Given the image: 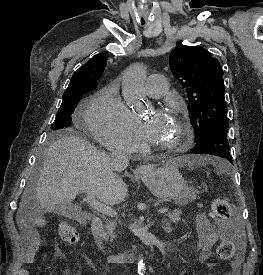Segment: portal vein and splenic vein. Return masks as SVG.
I'll list each match as a JSON object with an SVG mask.
<instances>
[{
    "mask_svg": "<svg viewBox=\"0 0 263 275\" xmlns=\"http://www.w3.org/2000/svg\"><path fill=\"white\" fill-rule=\"evenodd\" d=\"M87 201L88 203L90 204V206L96 210L97 212L101 213V214H104V215H107V216H111V217H114L116 216V212L113 210V208H111L110 206L106 205V204H103L101 202H99L95 195L90 193V192H87ZM169 208L168 207H163V208H160L158 210L159 213H166L168 212Z\"/></svg>",
    "mask_w": 263,
    "mask_h": 275,
    "instance_id": "portal-vein-and-splenic-vein-1",
    "label": "portal vein and splenic vein"
}]
</instances>
